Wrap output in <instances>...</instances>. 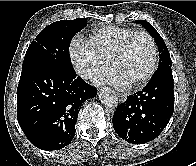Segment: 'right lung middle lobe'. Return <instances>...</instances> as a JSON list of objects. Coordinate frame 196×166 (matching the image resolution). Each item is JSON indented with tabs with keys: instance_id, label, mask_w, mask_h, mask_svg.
I'll return each mask as SVG.
<instances>
[{
	"instance_id": "right-lung-middle-lobe-1",
	"label": "right lung middle lobe",
	"mask_w": 196,
	"mask_h": 166,
	"mask_svg": "<svg viewBox=\"0 0 196 166\" xmlns=\"http://www.w3.org/2000/svg\"><path fill=\"white\" fill-rule=\"evenodd\" d=\"M87 26V19L61 20L48 25L33 41L22 64V70L47 65L72 71L69 46L74 35Z\"/></svg>"
}]
</instances>
